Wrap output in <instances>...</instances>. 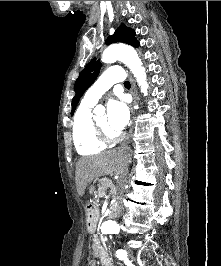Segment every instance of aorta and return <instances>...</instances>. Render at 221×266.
I'll return each mask as SVG.
<instances>
[{"mask_svg": "<svg viewBox=\"0 0 221 266\" xmlns=\"http://www.w3.org/2000/svg\"><path fill=\"white\" fill-rule=\"evenodd\" d=\"M103 63H111L117 60L126 64L144 94H147L148 83L146 73L142 67V61L137 52L123 44H112L108 46L102 53L101 58ZM101 231L108 234H117L120 232V225L114 220H107L101 225Z\"/></svg>", "mask_w": 221, "mask_h": 266, "instance_id": "762f6f07", "label": "aorta"}]
</instances>
